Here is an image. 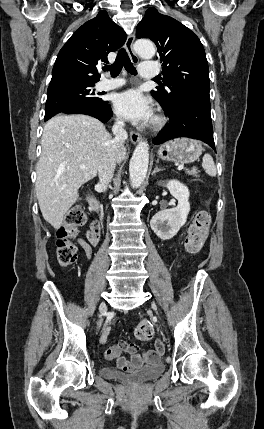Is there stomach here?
<instances>
[{"instance_id":"0dacf381","label":"stomach","mask_w":264,"mask_h":429,"mask_svg":"<svg viewBox=\"0 0 264 429\" xmlns=\"http://www.w3.org/2000/svg\"><path fill=\"white\" fill-rule=\"evenodd\" d=\"M202 150L199 140L182 137L162 144L157 156L165 161L191 163L200 157Z\"/></svg>"}]
</instances>
